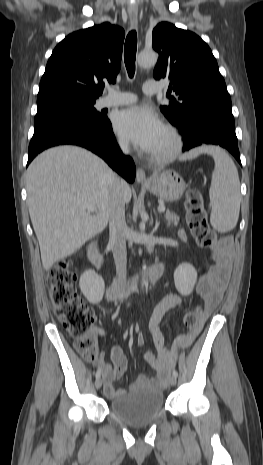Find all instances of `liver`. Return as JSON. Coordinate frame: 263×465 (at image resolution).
Wrapping results in <instances>:
<instances>
[{"mask_svg":"<svg viewBox=\"0 0 263 465\" xmlns=\"http://www.w3.org/2000/svg\"><path fill=\"white\" fill-rule=\"evenodd\" d=\"M115 173L99 157L76 146L38 155L26 172L28 208L44 269L81 248L107 226ZM132 197L127 185L124 201ZM97 208L91 215L80 203Z\"/></svg>","mask_w":263,"mask_h":465,"instance_id":"6515ba94","label":"liver"}]
</instances>
